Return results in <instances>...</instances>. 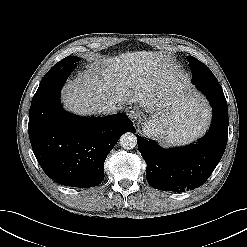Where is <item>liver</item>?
I'll list each match as a JSON object with an SVG mask.
<instances>
[{"label":"liver","instance_id":"1","mask_svg":"<svg viewBox=\"0 0 247 247\" xmlns=\"http://www.w3.org/2000/svg\"><path fill=\"white\" fill-rule=\"evenodd\" d=\"M184 87L182 76L162 52H127L104 58L94 69L70 80L63 89L65 107L76 114L101 113L104 102H132L153 113L176 100L175 91ZM183 110L192 117L198 106L192 102ZM208 114V110L206 109ZM200 130L206 123L192 120Z\"/></svg>","mask_w":247,"mask_h":247}]
</instances>
